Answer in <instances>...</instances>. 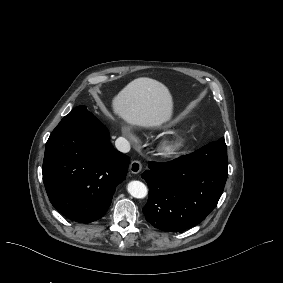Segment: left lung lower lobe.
I'll list each match as a JSON object with an SVG mask.
<instances>
[{
    "label": "left lung lower lobe",
    "mask_w": 283,
    "mask_h": 283,
    "mask_svg": "<svg viewBox=\"0 0 283 283\" xmlns=\"http://www.w3.org/2000/svg\"><path fill=\"white\" fill-rule=\"evenodd\" d=\"M142 174L149 186L143 207L155 228L178 232L191 228L216 207L228 176L225 140L211 142L169 162H149Z\"/></svg>",
    "instance_id": "left-lung-lower-lobe-1"
}]
</instances>
